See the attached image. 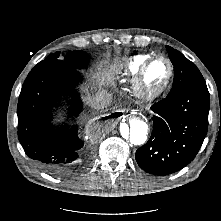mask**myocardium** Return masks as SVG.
<instances>
[{
	"mask_svg": "<svg viewBox=\"0 0 221 221\" xmlns=\"http://www.w3.org/2000/svg\"><path fill=\"white\" fill-rule=\"evenodd\" d=\"M157 59H163L169 66V74L165 83L157 89H147L145 86V75L150 65ZM174 78V65L172 61L164 55L156 54L147 59L141 66L139 72L136 74L133 80V89L135 94L143 101H153L160 98L165 94L172 85Z\"/></svg>",
	"mask_w": 221,
	"mask_h": 221,
	"instance_id": "1",
	"label": "myocardium"
}]
</instances>
